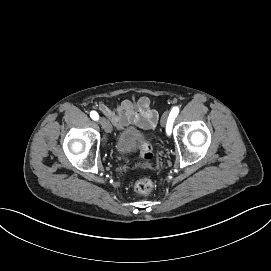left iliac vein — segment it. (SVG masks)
<instances>
[{
  "label": "left iliac vein",
  "mask_w": 271,
  "mask_h": 271,
  "mask_svg": "<svg viewBox=\"0 0 271 271\" xmlns=\"http://www.w3.org/2000/svg\"><path fill=\"white\" fill-rule=\"evenodd\" d=\"M168 115H169V112H168V111L164 112V114L162 115V118H161V125H162V126H166L167 121H168V120H167Z\"/></svg>",
  "instance_id": "4c4485c4"
}]
</instances>
